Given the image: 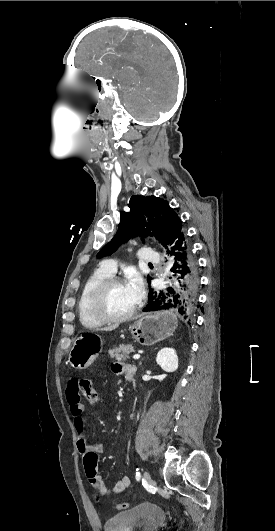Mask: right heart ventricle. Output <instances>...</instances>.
Masks as SVG:
<instances>
[{"label":"right heart ventricle","instance_id":"1","mask_svg":"<svg viewBox=\"0 0 275 531\" xmlns=\"http://www.w3.org/2000/svg\"><path fill=\"white\" fill-rule=\"evenodd\" d=\"M112 274L106 273L104 270L96 271L89 279L85 282L77 304L78 316L81 324L86 328H96L103 324L102 321L95 318L89 311L88 302L91 294L94 289L101 283L105 278L111 276Z\"/></svg>","mask_w":275,"mask_h":531}]
</instances>
